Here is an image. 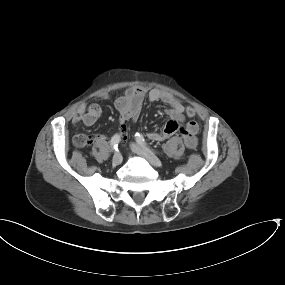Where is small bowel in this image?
<instances>
[{
  "mask_svg": "<svg viewBox=\"0 0 285 285\" xmlns=\"http://www.w3.org/2000/svg\"><path fill=\"white\" fill-rule=\"evenodd\" d=\"M150 102H162L168 106L167 115L169 121L162 131H151L148 138L152 141L160 142L170 136L180 132L185 146L193 149L197 146L198 123L189 121L185 125L182 122L185 119L186 107L182 102L169 93L162 92L159 89L147 91L145 87H129L124 94L115 101V107L119 113V133L123 136L127 131L126 123L135 121L139 118L142 104L145 97ZM103 98H108L109 94L104 93ZM102 114V108L98 104L80 105L72 114V121L75 123L82 122L91 126L97 122ZM90 143L99 140L101 136L90 135Z\"/></svg>",
  "mask_w": 285,
  "mask_h": 285,
  "instance_id": "c3829d8e",
  "label": "small bowel"
}]
</instances>
